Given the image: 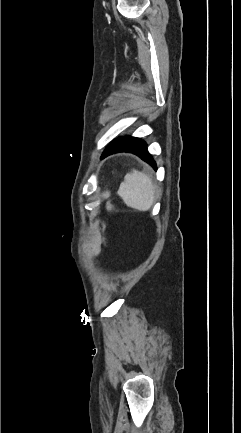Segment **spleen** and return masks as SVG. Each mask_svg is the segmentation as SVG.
I'll return each instance as SVG.
<instances>
[{
	"label": "spleen",
	"mask_w": 241,
	"mask_h": 433,
	"mask_svg": "<svg viewBox=\"0 0 241 433\" xmlns=\"http://www.w3.org/2000/svg\"><path fill=\"white\" fill-rule=\"evenodd\" d=\"M117 193L128 207L148 211L154 202L155 187L148 175L132 169L125 175Z\"/></svg>",
	"instance_id": "1"
}]
</instances>
